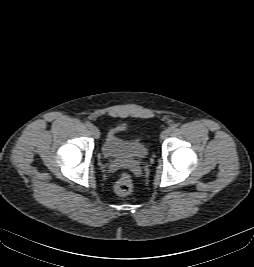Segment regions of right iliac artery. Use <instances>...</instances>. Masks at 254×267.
Returning a JSON list of instances; mask_svg holds the SVG:
<instances>
[{
  "label": "right iliac artery",
  "mask_w": 254,
  "mask_h": 267,
  "mask_svg": "<svg viewBox=\"0 0 254 267\" xmlns=\"http://www.w3.org/2000/svg\"><path fill=\"white\" fill-rule=\"evenodd\" d=\"M85 126L88 127V128H90L92 126V124L90 122H86L85 123Z\"/></svg>",
  "instance_id": "1"
}]
</instances>
